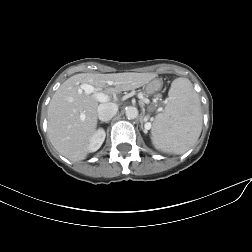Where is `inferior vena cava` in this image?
Returning a JSON list of instances; mask_svg holds the SVG:
<instances>
[{"label":"inferior vena cava","instance_id":"obj_1","mask_svg":"<svg viewBox=\"0 0 252 252\" xmlns=\"http://www.w3.org/2000/svg\"><path fill=\"white\" fill-rule=\"evenodd\" d=\"M117 111L118 107L116 104L111 102L102 103L97 108V115L101 121L107 122L116 115Z\"/></svg>","mask_w":252,"mask_h":252}]
</instances>
